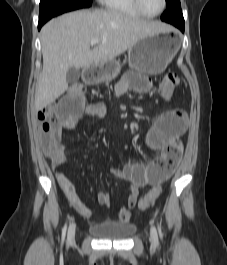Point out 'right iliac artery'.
I'll use <instances>...</instances> for the list:
<instances>
[{"label":"right iliac artery","instance_id":"obj_1","mask_svg":"<svg viewBox=\"0 0 227 265\" xmlns=\"http://www.w3.org/2000/svg\"><path fill=\"white\" fill-rule=\"evenodd\" d=\"M66 230H67V224H65V226H64V228H63V231H62V242H63L64 239H65Z\"/></svg>","mask_w":227,"mask_h":265}]
</instances>
